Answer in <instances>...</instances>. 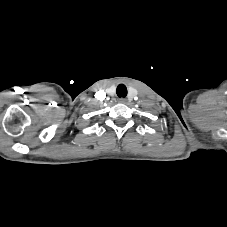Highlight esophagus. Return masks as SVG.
Masks as SVG:
<instances>
[{
  "label": "esophagus",
  "instance_id": "esophagus-1",
  "mask_svg": "<svg viewBox=\"0 0 227 227\" xmlns=\"http://www.w3.org/2000/svg\"><path fill=\"white\" fill-rule=\"evenodd\" d=\"M119 102H120V103H125L126 100H125L124 98H121V99H119Z\"/></svg>",
  "mask_w": 227,
  "mask_h": 227
}]
</instances>
